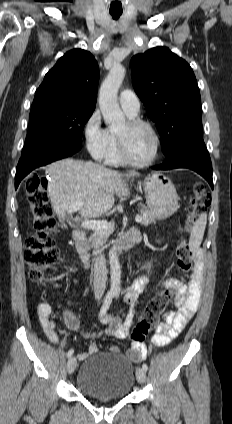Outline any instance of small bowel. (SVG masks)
I'll list each match as a JSON object with an SVG mask.
<instances>
[{"label": "small bowel", "instance_id": "c3829d8e", "mask_svg": "<svg viewBox=\"0 0 232 424\" xmlns=\"http://www.w3.org/2000/svg\"><path fill=\"white\" fill-rule=\"evenodd\" d=\"M203 281V262L201 257L198 258L194 270L191 274V279L184 287L178 280L174 278L165 279L162 282L163 287H173L176 290L174 298V305L176 310H170L164 313L163 322L160 323L152 338L153 343L158 347L167 346L171 341L178 336V334L185 328L188 321L193 317L199 307L201 298V284ZM147 286V279L140 277L136 279L125 292V302L129 307H133L138 296L145 290ZM37 315L41 327L47 339L56 343L58 341V334L56 325L52 319V310L46 303H40L37 306ZM63 319L67 327L72 331L80 332L81 336L85 339H95L102 335H109L117 339H125L128 334V329L132 324L133 314L132 311L128 313L126 318L122 320L117 316L104 315L101 319L106 325V328L99 331H85L80 328L79 320L70 311L63 312ZM99 348L96 343L89 345L86 353L79 354V358L83 359L88 355L98 353ZM110 351L118 353L119 348L116 345L110 346ZM148 354V349L144 344H131L127 355L134 362H140L145 359Z\"/></svg>", "mask_w": 232, "mask_h": 424}]
</instances>
